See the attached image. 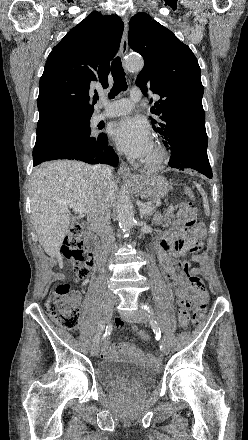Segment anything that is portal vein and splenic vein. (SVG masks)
<instances>
[{
  "instance_id": "obj_1",
  "label": "portal vein and splenic vein",
  "mask_w": 248,
  "mask_h": 440,
  "mask_svg": "<svg viewBox=\"0 0 248 440\" xmlns=\"http://www.w3.org/2000/svg\"><path fill=\"white\" fill-rule=\"evenodd\" d=\"M61 202L64 203V204H66V203L69 204V207L72 208L73 211H75L77 213H82L84 211L82 208L77 207V205L72 203L71 201L62 200ZM139 207H140L141 213H143V214H148V213H150L151 211L154 210V208L152 206H150L148 204H144V203H140Z\"/></svg>"
}]
</instances>
